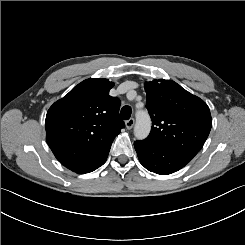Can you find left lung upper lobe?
Listing matches in <instances>:
<instances>
[{"label":"left lung upper lobe","instance_id":"left-lung-upper-lobe-1","mask_svg":"<svg viewBox=\"0 0 245 245\" xmlns=\"http://www.w3.org/2000/svg\"><path fill=\"white\" fill-rule=\"evenodd\" d=\"M144 87L152 129L143 142L174 151L191 161L209 135L212 126L209 107L171 80H153Z\"/></svg>","mask_w":245,"mask_h":245}]
</instances>
